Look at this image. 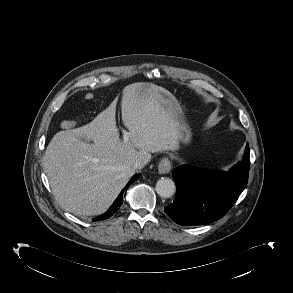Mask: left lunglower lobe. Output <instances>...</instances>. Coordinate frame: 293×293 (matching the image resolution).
<instances>
[{"instance_id":"left-lung-lower-lobe-1","label":"left lung lower lobe","mask_w":293,"mask_h":293,"mask_svg":"<svg viewBox=\"0 0 293 293\" xmlns=\"http://www.w3.org/2000/svg\"><path fill=\"white\" fill-rule=\"evenodd\" d=\"M249 145L245 158L229 172L210 173L179 166L173 171L176 197L164 211L184 226L203 225L220 219L244 190L249 174Z\"/></svg>"}]
</instances>
